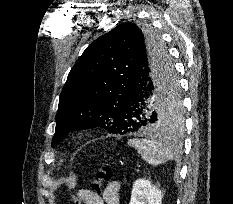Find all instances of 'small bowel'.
<instances>
[{
	"label": "small bowel",
	"instance_id": "obj_1",
	"mask_svg": "<svg viewBox=\"0 0 233 204\" xmlns=\"http://www.w3.org/2000/svg\"><path fill=\"white\" fill-rule=\"evenodd\" d=\"M120 184L117 181L109 183L101 195L94 196L87 189L78 191L79 199L76 203L83 204H120Z\"/></svg>",
	"mask_w": 233,
	"mask_h": 204
}]
</instances>
